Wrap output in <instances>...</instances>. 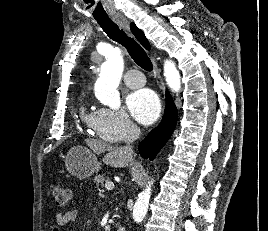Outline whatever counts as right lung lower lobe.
Here are the masks:
<instances>
[{"label":"right lung lower lobe","instance_id":"98d812e1","mask_svg":"<svg viewBox=\"0 0 268 231\" xmlns=\"http://www.w3.org/2000/svg\"><path fill=\"white\" fill-rule=\"evenodd\" d=\"M177 108L166 91V108L160 124L153 129L139 145V151L143 158L153 160L160 149L171 137L177 123Z\"/></svg>","mask_w":268,"mask_h":231}]
</instances>
